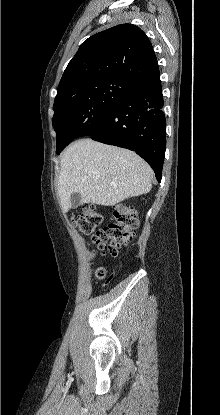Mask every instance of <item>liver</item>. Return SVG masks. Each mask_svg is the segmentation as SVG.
<instances>
[{"label": "liver", "instance_id": "obj_1", "mask_svg": "<svg viewBox=\"0 0 220 415\" xmlns=\"http://www.w3.org/2000/svg\"><path fill=\"white\" fill-rule=\"evenodd\" d=\"M152 179L151 167L134 152L81 139L64 152L57 186L62 208L68 211L73 193L82 204L112 206L148 193Z\"/></svg>", "mask_w": 220, "mask_h": 415}]
</instances>
